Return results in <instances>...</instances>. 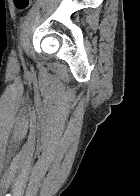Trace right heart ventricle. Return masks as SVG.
<instances>
[{"label": "right heart ventricle", "instance_id": "obj_1", "mask_svg": "<svg viewBox=\"0 0 140 196\" xmlns=\"http://www.w3.org/2000/svg\"><path fill=\"white\" fill-rule=\"evenodd\" d=\"M27 192H35V191H27Z\"/></svg>", "mask_w": 140, "mask_h": 196}]
</instances>
